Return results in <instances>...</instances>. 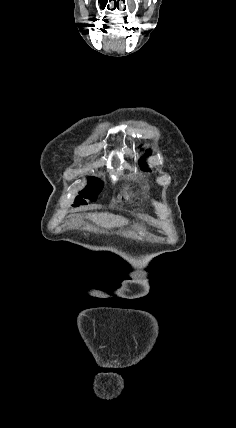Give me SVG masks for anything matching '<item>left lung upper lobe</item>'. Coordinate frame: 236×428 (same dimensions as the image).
Listing matches in <instances>:
<instances>
[{
    "instance_id": "left-lung-upper-lobe-1",
    "label": "left lung upper lobe",
    "mask_w": 236,
    "mask_h": 428,
    "mask_svg": "<svg viewBox=\"0 0 236 428\" xmlns=\"http://www.w3.org/2000/svg\"><path fill=\"white\" fill-rule=\"evenodd\" d=\"M150 154H151V152L148 150V151L146 152L145 156H148V155H150ZM144 160H145V157H144V158H141V159L139 160L140 167H141L142 169H145L146 171H148V169H147L148 165H147L146 163H144Z\"/></svg>"
}]
</instances>
